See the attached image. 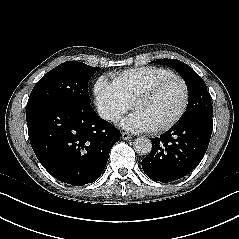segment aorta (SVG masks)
<instances>
[{
  "instance_id": "1",
  "label": "aorta",
  "mask_w": 239,
  "mask_h": 239,
  "mask_svg": "<svg viewBox=\"0 0 239 239\" xmlns=\"http://www.w3.org/2000/svg\"><path fill=\"white\" fill-rule=\"evenodd\" d=\"M134 150L139 155H148L152 150V142L146 137H138L133 143Z\"/></svg>"
}]
</instances>
